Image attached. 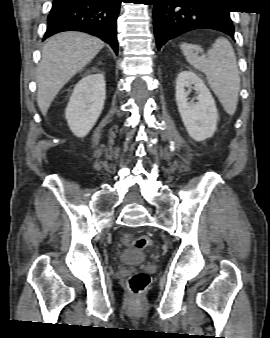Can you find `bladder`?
<instances>
[{
	"mask_svg": "<svg viewBox=\"0 0 270 338\" xmlns=\"http://www.w3.org/2000/svg\"><path fill=\"white\" fill-rule=\"evenodd\" d=\"M147 260V254L142 250L128 249L120 257L119 262L122 264L142 263Z\"/></svg>",
	"mask_w": 270,
	"mask_h": 338,
	"instance_id": "31cf9c89",
	"label": "bladder"
}]
</instances>
